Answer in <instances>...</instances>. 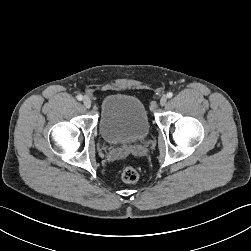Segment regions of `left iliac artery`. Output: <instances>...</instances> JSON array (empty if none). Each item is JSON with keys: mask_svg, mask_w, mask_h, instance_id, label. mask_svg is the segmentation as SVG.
I'll use <instances>...</instances> for the list:
<instances>
[{"mask_svg": "<svg viewBox=\"0 0 251 251\" xmlns=\"http://www.w3.org/2000/svg\"><path fill=\"white\" fill-rule=\"evenodd\" d=\"M172 96H173V93H172V92H168V93H167V98H172Z\"/></svg>", "mask_w": 251, "mask_h": 251, "instance_id": "left-iliac-artery-1", "label": "left iliac artery"}]
</instances>
